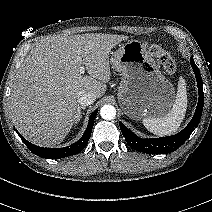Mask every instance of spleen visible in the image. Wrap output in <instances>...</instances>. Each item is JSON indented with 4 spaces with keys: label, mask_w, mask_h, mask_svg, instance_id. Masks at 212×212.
Returning a JSON list of instances; mask_svg holds the SVG:
<instances>
[{
    "label": "spleen",
    "mask_w": 212,
    "mask_h": 212,
    "mask_svg": "<svg viewBox=\"0 0 212 212\" xmlns=\"http://www.w3.org/2000/svg\"><path fill=\"white\" fill-rule=\"evenodd\" d=\"M187 110V90L183 77L179 78L178 90L171 110L163 117L144 118L143 125L148 131L158 136L175 133L184 120Z\"/></svg>",
    "instance_id": "1"
}]
</instances>
